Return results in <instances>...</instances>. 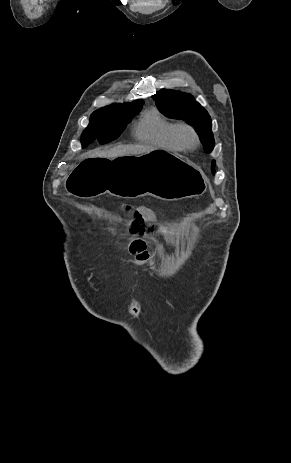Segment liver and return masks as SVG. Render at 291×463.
I'll return each mask as SVG.
<instances>
[{"mask_svg": "<svg viewBox=\"0 0 291 463\" xmlns=\"http://www.w3.org/2000/svg\"><path fill=\"white\" fill-rule=\"evenodd\" d=\"M155 150L146 145H119L108 150H93L87 153V158L115 159L128 155H141Z\"/></svg>", "mask_w": 291, "mask_h": 463, "instance_id": "obj_1", "label": "liver"}]
</instances>
